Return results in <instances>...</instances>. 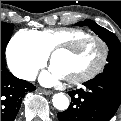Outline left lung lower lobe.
Here are the masks:
<instances>
[{
    "label": "left lung lower lobe",
    "mask_w": 121,
    "mask_h": 121,
    "mask_svg": "<svg viewBox=\"0 0 121 121\" xmlns=\"http://www.w3.org/2000/svg\"><path fill=\"white\" fill-rule=\"evenodd\" d=\"M84 86L69 92L71 104L57 114L59 121H109L115 114L121 102V79L98 76Z\"/></svg>",
    "instance_id": "0a47b994"
}]
</instances>
